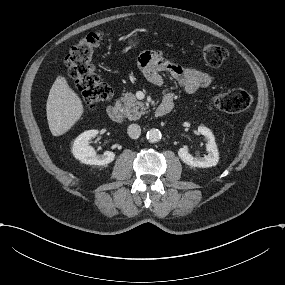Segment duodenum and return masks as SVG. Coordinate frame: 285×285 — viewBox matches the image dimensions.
Returning a JSON list of instances; mask_svg holds the SVG:
<instances>
[{
    "mask_svg": "<svg viewBox=\"0 0 285 285\" xmlns=\"http://www.w3.org/2000/svg\"><path fill=\"white\" fill-rule=\"evenodd\" d=\"M174 98L168 93L163 97L162 102L155 109V115L162 117L167 115L173 108ZM107 114L113 122H119L122 118L121 110L118 105L112 104L107 109Z\"/></svg>",
    "mask_w": 285,
    "mask_h": 285,
    "instance_id": "1",
    "label": "duodenum"
}]
</instances>
